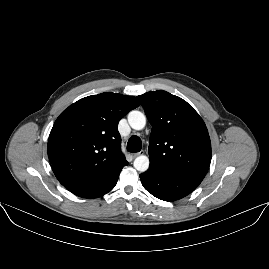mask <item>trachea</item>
I'll return each mask as SVG.
<instances>
[{
  "instance_id": "3493384b",
  "label": "trachea",
  "mask_w": 269,
  "mask_h": 269,
  "mask_svg": "<svg viewBox=\"0 0 269 269\" xmlns=\"http://www.w3.org/2000/svg\"><path fill=\"white\" fill-rule=\"evenodd\" d=\"M142 148L141 139L138 136H132L127 143V150L129 152H139Z\"/></svg>"
}]
</instances>
